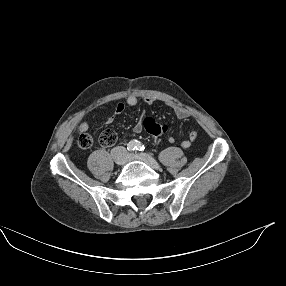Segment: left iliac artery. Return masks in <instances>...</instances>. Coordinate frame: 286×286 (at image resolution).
<instances>
[{
  "label": "left iliac artery",
  "mask_w": 286,
  "mask_h": 286,
  "mask_svg": "<svg viewBox=\"0 0 286 286\" xmlns=\"http://www.w3.org/2000/svg\"><path fill=\"white\" fill-rule=\"evenodd\" d=\"M135 149L138 151H144L145 146L140 141H136L135 142Z\"/></svg>",
  "instance_id": "44dca946"
}]
</instances>
